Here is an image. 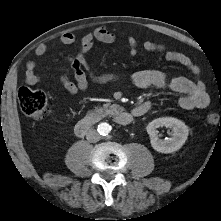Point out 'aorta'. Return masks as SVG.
I'll return each mask as SVG.
<instances>
[{
	"label": "aorta",
	"instance_id": "aorta-1",
	"mask_svg": "<svg viewBox=\"0 0 221 221\" xmlns=\"http://www.w3.org/2000/svg\"><path fill=\"white\" fill-rule=\"evenodd\" d=\"M111 126L108 123H101L98 125V132L102 136H106L110 133Z\"/></svg>",
	"mask_w": 221,
	"mask_h": 221
}]
</instances>
